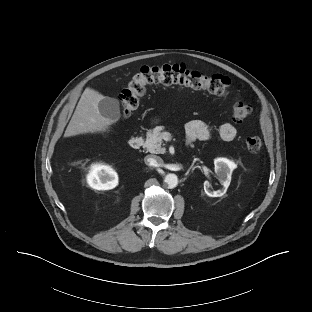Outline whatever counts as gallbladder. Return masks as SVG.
Segmentation results:
<instances>
[{
	"instance_id": "1",
	"label": "gallbladder",
	"mask_w": 312,
	"mask_h": 312,
	"mask_svg": "<svg viewBox=\"0 0 312 312\" xmlns=\"http://www.w3.org/2000/svg\"><path fill=\"white\" fill-rule=\"evenodd\" d=\"M102 116L115 122L120 118V105L116 98L103 97L98 104Z\"/></svg>"
}]
</instances>
